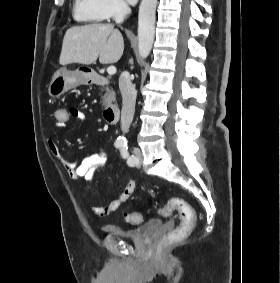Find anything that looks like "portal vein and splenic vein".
Masks as SVG:
<instances>
[{"label": "portal vein and splenic vein", "mask_w": 280, "mask_h": 283, "mask_svg": "<svg viewBox=\"0 0 280 283\" xmlns=\"http://www.w3.org/2000/svg\"><path fill=\"white\" fill-rule=\"evenodd\" d=\"M107 73H108L109 75H114V74L116 73V67H114V66H109V67L107 68Z\"/></svg>", "instance_id": "18ae733b"}]
</instances>
